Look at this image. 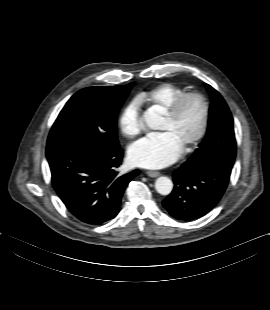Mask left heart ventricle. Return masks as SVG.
<instances>
[{"mask_svg":"<svg viewBox=\"0 0 270 310\" xmlns=\"http://www.w3.org/2000/svg\"><path fill=\"white\" fill-rule=\"evenodd\" d=\"M201 121L202 108L200 103L196 99H189L174 121H169L164 117L160 132H168L183 148L198 132Z\"/></svg>","mask_w":270,"mask_h":310,"instance_id":"b2bd125f","label":"left heart ventricle"}]
</instances>
